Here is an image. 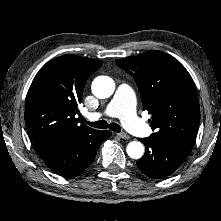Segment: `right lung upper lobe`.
Returning <instances> with one entry per match:
<instances>
[{
	"label": "right lung upper lobe",
	"mask_w": 221,
	"mask_h": 221,
	"mask_svg": "<svg viewBox=\"0 0 221 221\" xmlns=\"http://www.w3.org/2000/svg\"><path fill=\"white\" fill-rule=\"evenodd\" d=\"M102 64L96 59L63 55L41 68L25 100V123L32 142L95 131L77 118L78 105L87 79Z\"/></svg>",
	"instance_id": "obj_1"
}]
</instances>
